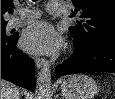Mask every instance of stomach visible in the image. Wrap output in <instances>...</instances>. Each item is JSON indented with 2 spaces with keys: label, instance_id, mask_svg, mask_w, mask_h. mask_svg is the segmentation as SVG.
<instances>
[{
  "label": "stomach",
  "instance_id": "stomach-1",
  "mask_svg": "<svg viewBox=\"0 0 115 99\" xmlns=\"http://www.w3.org/2000/svg\"><path fill=\"white\" fill-rule=\"evenodd\" d=\"M97 89L96 82L83 74L69 77L60 86L61 93L66 99H93Z\"/></svg>",
  "mask_w": 115,
  "mask_h": 99
}]
</instances>
